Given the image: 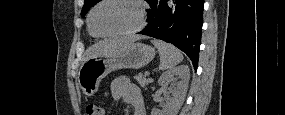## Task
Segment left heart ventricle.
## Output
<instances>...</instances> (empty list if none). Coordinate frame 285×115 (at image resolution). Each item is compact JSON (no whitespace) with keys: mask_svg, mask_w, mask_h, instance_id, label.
Masks as SVG:
<instances>
[{"mask_svg":"<svg viewBox=\"0 0 285 115\" xmlns=\"http://www.w3.org/2000/svg\"><path fill=\"white\" fill-rule=\"evenodd\" d=\"M92 24L99 33L131 30L139 24L138 10L131 3L111 0L97 8Z\"/></svg>","mask_w":285,"mask_h":115,"instance_id":"obj_1","label":"left heart ventricle"}]
</instances>
